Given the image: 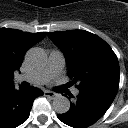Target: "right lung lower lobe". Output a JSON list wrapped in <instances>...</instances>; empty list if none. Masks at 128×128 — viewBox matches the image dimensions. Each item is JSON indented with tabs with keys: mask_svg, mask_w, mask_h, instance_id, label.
<instances>
[{
	"mask_svg": "<svg viewBox=\"0 0 128 128\" xmlns=\"http://www.w3.org/2000/svg\"><path fill=\"white\" fill-rule=\"evenodd\" d=\"M43 92L36 88L15 90L14 84L0 90V128H15L29 117L33 101Z\"/></svg>",
	"mask_w": 128,
	"mask_h": 128,
	"instance_id": "98d812e1",
	"label": "right lung lower lobe"
}]
</instances>
